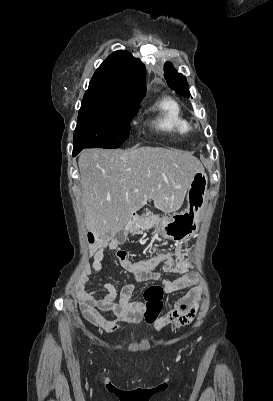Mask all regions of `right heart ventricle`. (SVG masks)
<instances>
[{
	"label": "right heart ventricle",
	"mask_w": 273,
	"mask_h": 401,
	"mask_svg": "<svg viewBox=\"0 0 273 401\" xmlns=\"http://www.w3.org/2000/svg\"><path fill=\"white\" fill-rule=\"evenodd\" d=\"M153 114L151 125L158 131L168 133L180 141L189 138V119L183 111L182 105L172 97H162L151 107Z\"/></svg>",
	"instance_id": "obj_1"
}]
</instances>
